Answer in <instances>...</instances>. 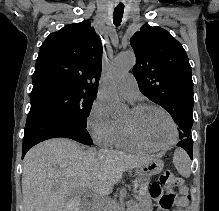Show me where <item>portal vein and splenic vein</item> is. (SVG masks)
Returning <instances> with one entry per match:
<instances>
[{
    "mask_svg": "<svg viewBox=\"0 0 219 211\" xmlns=\"http://www.w3.org/2000/svg\"><path fill=\"white\" fill-rule=\"evenodd\" d=\"M82 193V191H81ZM82 195H84V197H89V195H86V193H82ZM109 203H112L111 199H109Z\"/></svg>",
    "mask_w": 219,
    "mask_h": 211,
    "instance_id": "1",
    "label": "portal vein and splenic vein"
}]
</instances>
